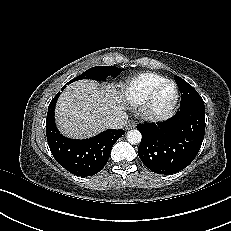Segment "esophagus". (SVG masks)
Masks as SVG:
<instances>
[{
	"instance_id": "34e87169",
	"label": "esophagus",
	"mask_w": 231,
	"mask_h": 231,
	"mask_svg": "<svg viewBox=\"0 0 231 231\" xmlns=\"http://www.w3.org/2000/svg\"><path fill=\"white\" fill-rule=\"evenodd\" d=\"M135 126H136V124H135L134 121H128V123L126 124L125 128H126L127 130H130V129H132V128H135Z\"/></svg>"
}]
</instances>
